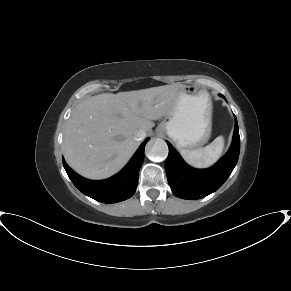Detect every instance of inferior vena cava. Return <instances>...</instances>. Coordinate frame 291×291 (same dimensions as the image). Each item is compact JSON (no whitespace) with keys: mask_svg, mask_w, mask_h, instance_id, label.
<instances>
[{"mask_svg":"<svg viewBox=\"0 0 291 291\" xmlns=\"http://www.w3.org/2000/svg\"><path fill=\"white\" fill-rule=\"evenodd\" d=\"M145 136H146V132L143 130H139L134 134V139L136 141H141L145 138Z\"/></svg>","mask_w":291,"mask_h":291,"instance_id":"obj_1","label":"inferior vena cava"}]
</instances>
